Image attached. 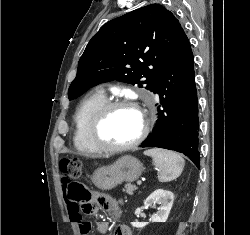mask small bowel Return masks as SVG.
Masks as SVG:
<instances>
[{
  "instance_id": "1",
  "label": "small bowel",
  "mask_w": 250,
  "mask_h": 235,
  "mask_svg": "<svg viewBox=\"0 0 250 235\" xmlns=\"http://www.w3.org/2000/svg\"><path fill=\"white\" fill-rule=\"evenodd\" d=\"M64 199L66 203L67 212L69 214L72 222L78 224L79 232L81 235H88L91 225L88 221L83 219V214L88 215L93 212V210L83 211L77 209V203L74 202L68 195V192L65 188L64 190ZM100 206L111 216L118 217L121 212L120 202L110 198L104 197L100 201ZM75 217V218H74ZM96 229L100 233H105L108 229V224L105 221H99L96 224ZM114 235H132L130 228L126 225H117L114 230Z\"/></svg>"
}]
</instances>
